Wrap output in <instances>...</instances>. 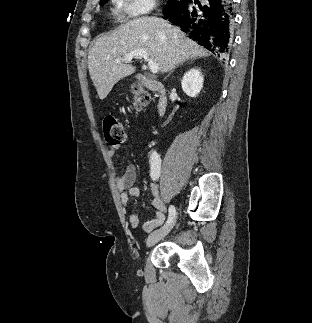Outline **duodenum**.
Here are the masks:
<instances>
[{
	"label": "duodenum",
	"mask_w": 312,
	"mask_h": 323,
	"mask_svg": "<svg viewBox=\"0 0 312 323\" xmlns=\"http://www.w3.org/2000/svg\"><path fill=\"white\" fill-rule=\"evenodd\" d=\"M139 81L145 88L157 94V97H158L157 113L158 115H162L167 108V97H166L165 87L157 80L145 79L140 77Z\"/></svg>",
	"instance_id": "obj_1"
}]
</instances>
